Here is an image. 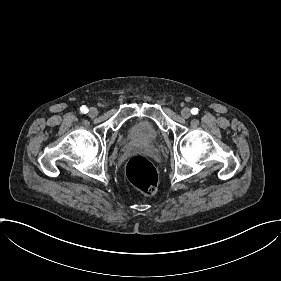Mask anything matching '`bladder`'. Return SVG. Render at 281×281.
I'll list each match as a JSON object with an SVG mask.
<instances>
[{"mask_svg": "<svg viewBox=\"0 0 281 281\" xmlns=\"http://www.w3.org/2000/svg\"><path fill=\"white\" fill-rule=\"evenodd\" d=\"M129 137L136 143L148 146L155 143L158 134L150 122L139 121L130 127Z\"/></svg>", "mask_w": 281, "mask_h": 281, "instance_id": "31cf9c89", "label": "bladder"}]
</instances>
